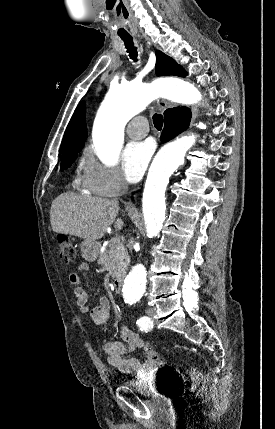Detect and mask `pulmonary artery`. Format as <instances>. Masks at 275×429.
I'll return each instance as SVG.
<instances>
[{
	"instance_id": "1",
	"label": "pulmonary artery",
	"mask_w": 275,
	"mask_h": 429,
	"mask_svg": "<svg viewBox=\"0 0 275 429\" xmlns=\"http://www.w3.org/2000/svg\"><path fill=\"white\" fill-rule=\"evenodd\" d=\"M127 134L133 139H140L148 134V122L145 117L134 118L127 126Z\"/></svg>"
}]
</instances>
